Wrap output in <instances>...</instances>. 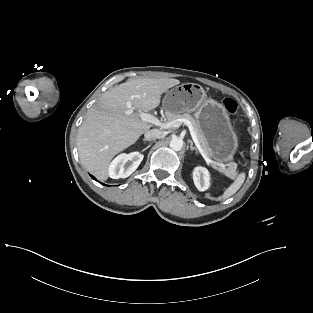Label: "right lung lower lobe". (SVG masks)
<instances>
[{
  "label": "right lung lower lobe",
  "instance_id": "right-lung-lower-lobe-1",
  "mask_svg": "<svg viewBox=\"0 0 313 313\" xmlns=\"http://www.w3.org/2000/svg\"><path fill=\"white\" fill-rule=\"evenodd\" d=\"M91 177H92L94 180H96V178H95L94 176L91 175Z\"/></svg>",
  "mask_w": 313,
  "mask_h": 313
}]
</instances>
